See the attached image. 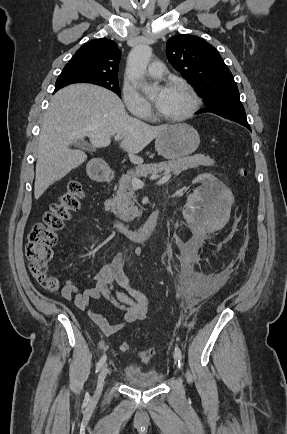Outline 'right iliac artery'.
Masks as SVG:
<instances>
[{"label":"right iliac artery","instance_id":"obj_1","mask_svg":"<svg viewBox=\"0 0 287 434\" xmlns=\"http://www.w3.org/2000/svg\"><path fill=\"white\" fill-rule=\"evenodd\" d=\"M105 361H106V355H103L99 359V361L97 362L96 370H95L96 373L102 368V366L104 365Z\"/></svg>","mask_w":287,"mask_h":434}]
</instances>
